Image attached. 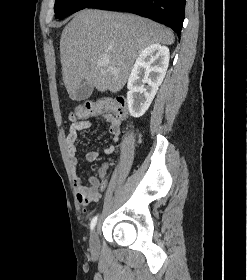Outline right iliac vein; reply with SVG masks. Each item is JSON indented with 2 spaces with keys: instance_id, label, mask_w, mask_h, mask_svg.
I'll return each instance as SVG.
<instances>
[{
  "instance_id": "obj_1",
  "label": "right iliac vein",
  "mask_w": 247,
  "mask_h": 280,
  "mask_svg": "<svg viewBox=\"0 0 247 280\" xmlns=\"http://www.w3.org/2000/svg\"><path fill=\"white\" fill-rule=\"evenodd\" d=\"M89 245H90V249L93 253H97L98 249H99V241H98V235H97V231L93 230L90 236V240H89Z\"/></svg>"
}]
</instances>
